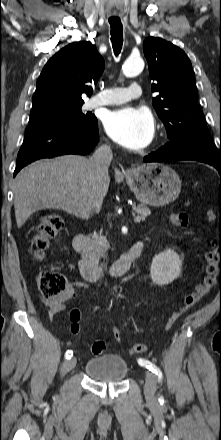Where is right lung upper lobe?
<instances>
[{"label":"right lung upper lobe","mask_w":221,"mask_h":440,"mask_svg":"<svg viewBox=\"0 0 221 440\" xmlns=\"http://www.w3.org/2000/svg\"><path fill=\"white\" fill-rule=\"evenodd\" d=\"M104 71V60L91 42H75L56 53L43 68L32 110L53 104H83Z\"/></svg>","instance_id":"cb5924a9"}]
</instances>
